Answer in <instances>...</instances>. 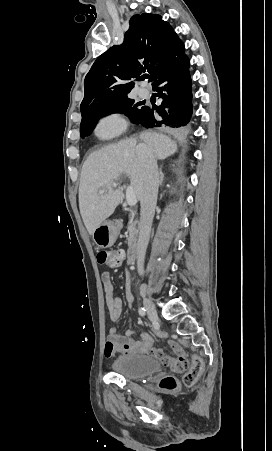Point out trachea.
<instances>
[{
    "label": "trachea",
    "instance_id": "3493384b",
    "mask_svg": "<svg viewBox=\"0 0 272 451\" xmlns=\"http://www.w3.org/2000/svg\"><path fill=\"white\" fill-rule=\"evenodd\" d=\"M145 78H148V75H142V80H145Z\"/></svg>",
    "mask_w": 272,
    "mask_h": 451
}]
</instances>
